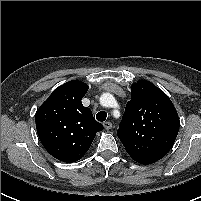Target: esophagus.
<instances>
[{"label":"esophagus","mask_w":201,"mask_h":201,"mask_svg":"<svg viewBox=\"0 0 201 201\" xmlns=\"http://www.w3.org/2000/svg\"><path fill=\"white\" fill-rule=\"evenodd\" d=\"M103 126H104L105 129L109 130V129L112 128V123L109 122V121H106V122L103 123Z\"/></svg>","instance_id":"34e87169"}]
</instances>
